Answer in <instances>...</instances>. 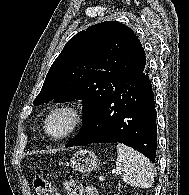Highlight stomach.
Returning <instances> with one entry per match:
<instances>
[{"instance_id":"obj_1","label":"stomach","mask_w":189,"mask_h":195,"mask_svg":"<svg viewBox=\"0 0 189 195\" xmlns=\"http://www.w3.org/2000/svg\"><path fill=\"white\" fill-rule=\"evenodd\" d=\"M98 158L96 154L88 150H79L70 159V166L75 171L88 173L97 168Z\"/></svg>"}]
</instances>
